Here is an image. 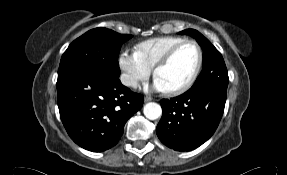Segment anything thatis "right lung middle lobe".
I'll return each mask as SVG.
<instances>
[{"instance_id": "dd1d6c3e", "label": "right lung middle lobe", "mask_w": 287, "mask_h": 175, "mask_svg": "<svg viewBox=\"0 0 287 175\" xmlns=\"http://www.w3.org/2000/svg\"><path fill=\"white\" fill-rule=\"evenodd\" d=\"M131 37L101 27L86 32L74 40L62 55L58 78L77 71L119 78V51L121 45Z\"/></svg>"}]
</instances>
